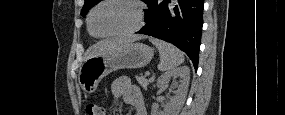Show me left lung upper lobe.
<instances>
[{
	"instance_id": "obj_1",
	"label": "left lung upper lobe",
	"mask_w": 285,
	"mask_h": 115,
	"mask_svg": "<svg viewBox=\"0 0 285 115\" xmlns=\"http://www.w3.org/2000/svg\"><path fill=\"white\" fill-rule=\"evenodd\" d=\"M145 1V0H143ZM100 2V0H85V3H84V6L82 8V11H81V15L84 17L87 12L89 11V9L91 7H93L94 5L98 4Z\"/></svg>"
}]
</instances>
